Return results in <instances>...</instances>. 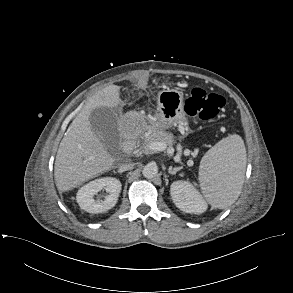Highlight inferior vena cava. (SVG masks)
Listing matches in <instances>:
<instances>
[{
	"label": "inferior vena cava",
	"mask_w": 293,
	"mask_h": 293,
	"mask_svg": "<svg viewBox=\"0 0 293 293\" xmlns=\"http://www.w3.org/2000/svg\"><path fill=\"white\" fill-rule=\"evenodd\" d=\"M133 166H134V164H132V163L123 164L119 167V172L127 171V170L131 169Z\"/></svg>",
	"instance_id": "obj_1"
}]
</instances>
